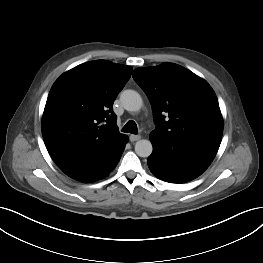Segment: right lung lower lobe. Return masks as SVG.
<instances>
[{"mask_svg":"<svg viewBox=\"0 0 263 263\" xmlns=\"http://www.w3.org/2000/svg\"><path fill=\"white\" fill-rule=\"evenodd\" d=\"M128 138L125 137L119 148L103 158L63 170L71 178L81 182H95L105 178L117 166Z\"/></svg>","mask_w":263,"mask_h":263,"instance_id":"98d812e1","label":"right lung lower lobe"}]
</instances>
